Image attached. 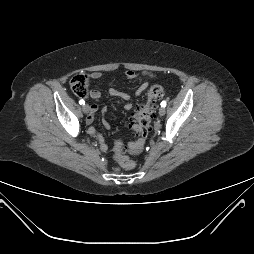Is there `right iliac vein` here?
Wrapping results in <instances>:
<instances>
[{"instance_id": "1", "label": "right iliac vein", "mask_w": 254, "mask_h": 254, "mask_svg": "<svg viewBox=\"0 0 254 254\" xmlns=\"http://www.w3.org/2000/svg\"><path fill=\"white\" fill-rule=\"evenodd\" d=\"M82 110H83L84 113L87 114L90 111V107L87 104H85V105L82 106Z\"/></svg>"}]
</instances>
